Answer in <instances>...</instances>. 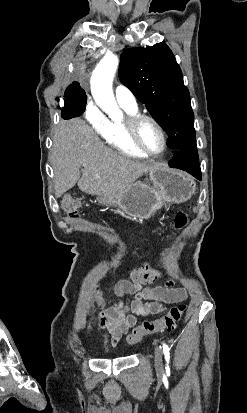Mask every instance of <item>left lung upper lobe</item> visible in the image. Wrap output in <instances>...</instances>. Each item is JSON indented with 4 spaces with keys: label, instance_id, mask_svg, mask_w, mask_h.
Here are the masks:
<instances>
[{
    "label": "left lung upper lobe",
    "instance_id": "5c2ea615",
    "mask_svg": "<svg viewBox=\"0 0 247 413\" xmlns=\"http://www.w3.org/2000/svg\"><path fill=\"white\" fill-rule=\"evenodd\" d=\"M120 81L127 86L167 132L175 150L196 148L194 114L179 65L163 42L122 52Z\"/></svg>",
    "mask_w": 247,
    "mask_h": 413
}]
</instances>
